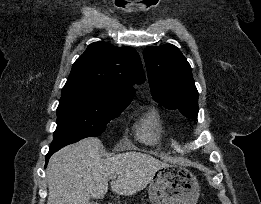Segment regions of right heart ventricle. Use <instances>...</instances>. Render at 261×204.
<instances>
[{
  "mask_svg": "<svg viewBox=\"0 0 261 204\" xmlns=\"http://www.w3.org/2000/svg\"><path fill=\"white\" fill-rule=\"evenodd\" d=\"M137 138L147 144L155 142L160 129V117L158 112L150 108L140 118L136 124Z\"/></svg>",
  "mask_w": 261,
  "mask_h": 204,
  "instance_id": "obj_1",
  "label": "right heart ventricle"
}]
</instances>
